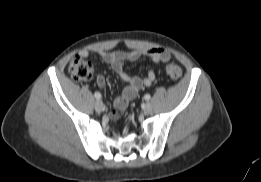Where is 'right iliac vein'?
<instances>
[{"instance_id":"1","label":"right iliac vein","mask_w":261,"mask_h":182,"mask_svg":"<svg viewBox=\"0 0 261 182\" xmlns=\"http://www.w3.org/2000/svg\"><path fill=\"white\" fill-rule=\"evenodd\" d=\"M94 108H95V110H96L97 112H101V111L103 110V108H104V105H103L102 101L97 100V101L95 102V104H94Z\"/></svg>"}]
</instances>
